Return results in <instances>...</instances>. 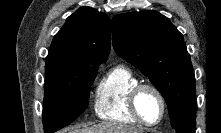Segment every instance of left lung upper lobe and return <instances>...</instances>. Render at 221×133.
I'll return each instance as SVG.
<instances>
[{
    "mask_svg": "<svg viewBox=\"0 0 221 133\" xmlns=\"http://www.w3.org/2000/svg\"><path fill=\"white\" fill-rule=\"evenodd\" d=\"M112 31L116 53L163 95L176 133L195 131V77L182 34L151 10L115 16Z\"/></svg>",
    "mask_w": 221,
    "mask_h": 133,
    "instance_id": "1",
    "label": "left lung upper lobe"
}]
</instances>
